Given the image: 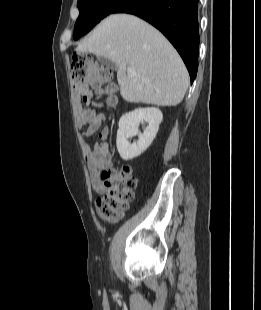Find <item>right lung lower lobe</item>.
Returning a JSON list of instances; mask_svg holds the SVG:
<instances>
[{
    "mask_svg": "<svg viewBox=\"0 0 261 310\" xmlns=\"http://www.w3.org/2000/svg\"><path fill=\"white\" fill-rule=\"evenodd\" d=\"M199 0H125L112 13L134 14L159 29L177 49L190 74L198 69Z\"/></svg>",
    "mask_w": 261,
    "mask_h": 310,
    "instance_id": "right-lung-lower-lobe-1",
    "label": "right lung lower lobe"
}]
</instances>
